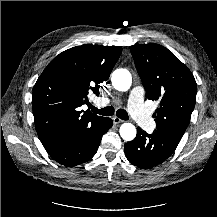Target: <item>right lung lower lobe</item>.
I'll return each mask as SVG.
<instances>
[{"label":"right lung lower lobe","mask_w":217,"mask_h":217,"mask_svg":"<svg viewBox=\"0 0 217 217\" xmlns=\"http://www.w3.org/2000/svg\"><path fill=\"white\" fill-rule=\"evenodd\" d=\"M113 121L103 117L83 130L79 135L45 145L48 154L58 163L73 167L92 158L100 145L101 138L111 127Z\"/></svg>","instance_id":"98d812e1"}]
</instances>
